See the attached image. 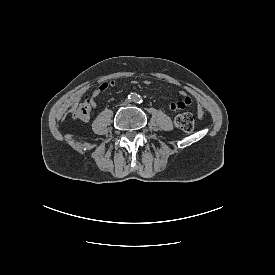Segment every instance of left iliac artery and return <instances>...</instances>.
Masks as SVG:
<instances>
[{"label":"left iliac artery","mask_w":275,"mask_h":275,"mask_svg":"<svg viewBox=\"0 0 275 275\" xmlns=\"http://www.w3.org/2000/svg\"><path fill=\"white\" fill-rule=\"evenodd\" d=\"M142 102V100L141 99H139V102L138 103H141Z\"/></svg>","instance_id":"1"}]
</instances>
